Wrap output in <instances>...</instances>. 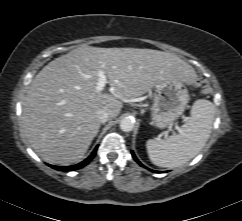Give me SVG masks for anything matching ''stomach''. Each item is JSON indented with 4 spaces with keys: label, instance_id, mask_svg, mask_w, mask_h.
<instances>
[{
    "label": "stomach",
    "instance_id": "stomach-1",
    "mask_svg": "<svg viewBox=\"0 0 242 221\" xmlns=\"http://www.w3.org/2000/svg\"><path fill=\"white\" fill-rule=\"evenodd\" d=\"M189 102L188 89L180 78H171L154 87L151 107L152 122L158 128H165L177 120Z\"/></svg>",
    "mask_w": 242,
    "mask_h": 221
}]
</instances>
